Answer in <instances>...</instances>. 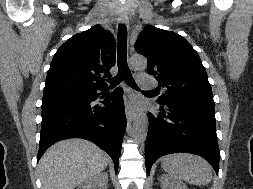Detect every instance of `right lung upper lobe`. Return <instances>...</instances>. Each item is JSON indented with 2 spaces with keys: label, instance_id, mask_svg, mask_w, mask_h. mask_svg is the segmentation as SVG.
I'll return each mask as SVG.
<instances>
[{
  "label": "right lung upper lobe",
  "instance_id": "1",
  "mask_svg": "<svg viewBox=\"0 0 253 189\" xmlns=\"http://www.w3.org/2000/svg\"><path fill=\"white\" fill-rule=\"evenodd\" d=\"M116 41L101 25L74 35L59 47L46 77L44 94L106 87L99 77H111Z\"/></svg>",
  "mask_w": 253,
  "mask_h": 189
}]
</instances>
